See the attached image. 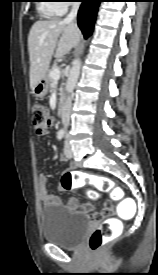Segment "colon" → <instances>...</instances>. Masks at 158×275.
Masks as SVG:
<instances>
[{"label": "colon", "mask_w": 158, "mask_h": 275, "mask_svg": "<svg viewBox=\"0 0 158 275\" xmlns=\"http://www.w3.org/2000/svg\"><path fill=\"white\" fill-rule=\"evenodd\" d=\"M33 121L37 134H43L51 128L52 121L49 117L47 108L44 104L36 102L33 104ZM87 184L94 185L100 191L110 192L113 197L121 199L123 192L115 186L113 181L105 176L92 175L82 171L66 172L62 175L60 185L63 190L71 191L84 187ZM92 198L97 197L95 192H90ZM106 207L103 211L97 213L95 218H102L109 213ZM117 236L115 223L112 220H105L89 238V246L93 251L100 250L107 242Z\"/></svg>", "instance_id": "1"}]
</instances>
